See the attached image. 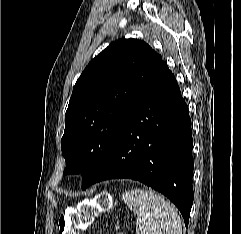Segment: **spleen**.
<instances>
[{"label":"spleen","instance_id":"1","mask_svg":"<svg viewBox=\"0 0 241 234\" xmlns=\"http://www.w3.org/2000/svg\"><path fill=\"white\" fill-rule=\"evenodd\" d=\"M122 199L137 215L136 234H182L176 210L153 190L131 189Z\"/></svg>","mask_w":241,"mask_h":234}]
</instances>
